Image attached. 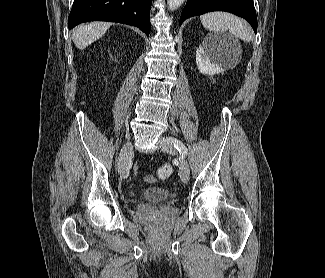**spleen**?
Segmentation results:
<instances>
[{
	"mask_svg": "<svg viewBox=\"0 0 325 278\" xmlns=\"http://www.w3.org/2000/svg\"><path fill=\"white\" fill-rule=\"evenodd\" d=\"M202 25L216 33L229 32L245 42L252 40V32L249 25L242 19L225 12H211L200 16Z\"/></svg>",
	"mask_w": 325,
	"mask_h": 278,
	"instance_id": "obj_1",
	"label": "spleen"
}]
</instances>
